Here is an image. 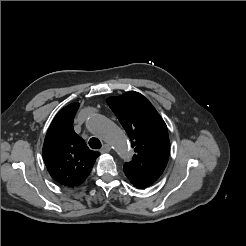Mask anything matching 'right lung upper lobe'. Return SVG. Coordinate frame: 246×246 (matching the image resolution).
Masks as SVG:
<instances>
[{"label":"right lung upper lobe","mask_w":246,"mask_h":246,"mask_svg":"<svg viewBox=\"0 0 246 246\" xmlns=\"http://www.w3.org/2000/svg\"><path fill=\"white\" fill-rule=\"evenodd\" d=\"M79 103L61 109L53 119L43 145V159L51 177L61 185L78 186L89 175L99 152L91 151L73 129Z\"/></svg>","instance_id":"right-lung-upper-lobe-1"}]
</instances>
